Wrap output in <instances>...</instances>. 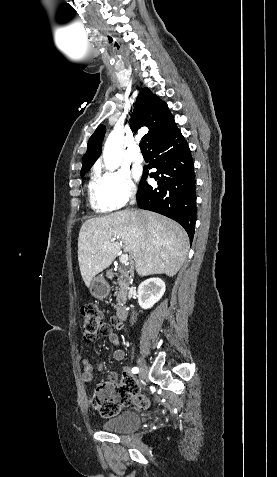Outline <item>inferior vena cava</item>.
I'll return each mask as SVG.
<instances>
[{
  "label": "inferior vena cava",
  "mask_w": 277,
  "mask_h": 477,
  "mask_svg": "<svg viewBox=\"0 0 277 477\" xmlns=\"http://www.w3.org/2000/svg\"><path fill=\"white\" fill-rule=\"evenodd\" d=\"M135 202H136V197H135V194L132 193L131 196H130V204L134 205ZM134 321H135V319H134V315H133L132 318H131V322L133 323Z\"/></svg>",
  "instance_id": "602c4592"
}]
</instances>
